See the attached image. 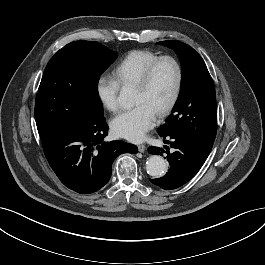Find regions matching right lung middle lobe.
I'll use <instances>...</instances> for the list:
<instances>
[{"mask_svg": "<svg viewBox=\"0 0 265 265\" xmlns=\"http://www.w3.org/2000/svg\"><path fill=\"white\" fill-rule=\"evenodd\" d=\"M116 58V52L93 41L69 43L52 57L35 102L41 139L103 116L98 81Z\"/></svg>", "mask_w": 265, "mask_h": 265, "instance_id": "1", "label": "right lung middle lobe"}]
</instances>
